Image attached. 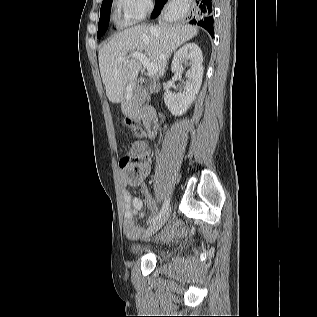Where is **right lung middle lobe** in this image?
<instances>
[{"label": "right lung middle lobe", "mask_w": 317, "mask_h": 317, "mask_svg": "<svg viewBox=\"0 0 317 317\" xmlns=\"http://www.w3.org/2000/svg\"><path fill=\"white\" fill-rule=\"evenodd\" d=\"M112 0H103L100 9L99 28L97 37L100 38L107 30Z\"/></svg>", "instance_id": "right-lung-middle-lobe-1"}]
</instances>
